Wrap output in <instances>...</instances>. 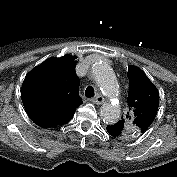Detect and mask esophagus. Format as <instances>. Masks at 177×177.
Listing matches in <instances>:
<instances>
[{
  "label": "esophagus",
  "mask_w": 177,
  "mask_h": 177,
  "mask_svg": "<svg viewBox=\"0 0 177 177\" xmlns=\"http://www.w3.org/2000/svg\"><path fill=\"white\" fill-rule=\"evenodd\" d=\"M91 101L95 104L101 105L105 102V99L103 96L98 95L95 98H92Z\"/></svg>",
  "instance_id": "esophagus-1"
}]
</instances>
